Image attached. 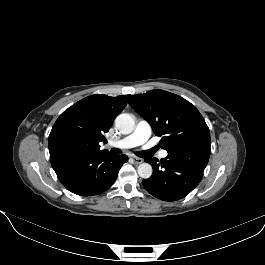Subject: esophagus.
Returning a JSON list of instances; mask_svg holds the SVG:
<instances>
[{
  "label": "esophagus",
  "mask_w": 265,
  "mask_h": 265,
  "mask_svg": "<svg viewBox=\"0 0 265 265\" xmlns=\"http://www.w3.org/2000/svg\"><path fill=\"white\" fill-rule=\"evenodd\" d=\"M133 160H134V162L137 163V164H140V163L143 162V159H142V158H138V157H133Z\"/></svg>",
  "instance_id": "obj_1"
}]
</instances>
